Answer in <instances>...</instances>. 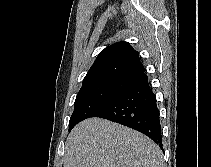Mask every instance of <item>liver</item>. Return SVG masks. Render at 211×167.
Listing matches in <instances>:
<instances>
[{
    "label": "liver",
    "instance_id": "1",
    "mask_svg": "<svg viewBox=\"0 0 211 167\" xmlns=\"http://www.w3.org/2000/svg\"><path fill=\"white\" fill-rule=\"evenodd\" d=\"M64 167H165L161 149L131 128L90 118L65 143Z\"/></svg>",
    "mask_w": 211,
    "mask_h": 167
}]
</instances>
